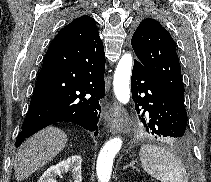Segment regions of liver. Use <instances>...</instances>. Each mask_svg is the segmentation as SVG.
Returning a JSON list of instances; mask_svg holds the SVG:
<instances>
[{
    "label": "liver",
    "mask_w": 211,
    "mask_h": 182,
    "mask_svg": "<svg viewBox=\"0 0 211 182\" xmlns=\"http://www.w3.org/2000/svg\"><path fill=\"white\" fill-rule=\"evenodd\" d=\"M67 135L56 127L45 128L29 138L19 149L14 161L16 180L22 181L43 167L66 146Z\"/></svg>",
    "instance_id": "6515ba94"
}]
</instances>
